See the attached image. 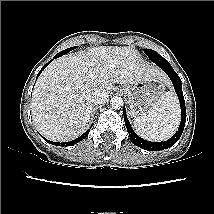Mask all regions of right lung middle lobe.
<instances>
[{
    "label": "right lung middle lobe",
    "mask_w": 214,
    "mask_h": 214,
    "mask_svg": "<svg viewBox=\"0 0 214 214\" xmlns=\"http://www.w3.org/2000/svg\"><path fill=\"white\" fill-rule=\"evenodd\" d=\"M74 48H75V47H71V48H68V49H66V50H63V51L59 52V53L57 54V56H62V55H64V54L68 53L70 50H73Z\"/></svg>",
    "instance_id": "obj_1"
}]
</instances>
